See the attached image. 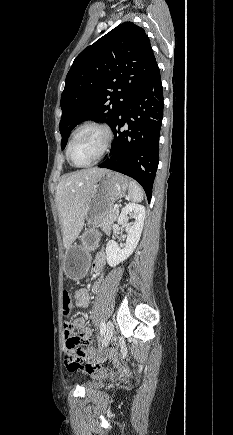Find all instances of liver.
Masks as SVG:
<instances>
[{
    "instance_id": "1",
    "label": "liver",
    "mask_w": 233,
    "mask_h": 435,
    "mask_svg": "<svg viewBox=\"0 0 233 435\" xmlns=\"http://www.w3.org/2000/svg\"><path fill=\"white\" fill-rule=\"evenodd\" d=\"M106 169L89 168L69 174L56 188V202L62 223L63 246L68 249L84 226L85 210L97 177Z\"/></svg>"
}]
</instances>
